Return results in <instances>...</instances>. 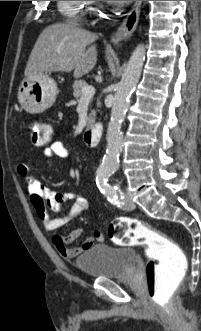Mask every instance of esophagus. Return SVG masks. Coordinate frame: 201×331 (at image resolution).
Instances as JSON below:
<instances>
[{
  "mask_svg": "<svg viewBox=\"0 0 201 331\" xmlns=\"http://www.w3.org/2000/svg\"><path fill=\"white\" fill-rule=\"evenodd\" d=\"M142 1H135L132 9L124 19L122 24L117 29L115 38H112V42L116 45L119 41L129 38L135 31L139 16Z\"/></svg>",
  "mask_w": 201,
  "mask_h": 331,
  "instance_id": "1",
  "label": "esophagus"
}]
</instances>
